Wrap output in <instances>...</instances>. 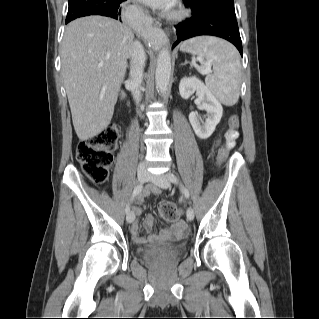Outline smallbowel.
Returning <instances> with one entry per match:
<instances>
[{"instance_id":"c3829d8e","label":"small bowel","mask_w":319,"mask_h":319,"mask_svg":"<svg viewBox=\"0 0 319 319\" xmlns=\"http://www.w3.org/2000/svg\"><path fill=\"white\" fill-rule=\"evenodd\" d=\"M229 135H230V131L227 132V137ZM234 137H235L234 139L228 138L229 145H233L234 140L238 137L237 131L234 133ZM152 191L156 194L159 193V190L156 188H153ZM143 201H144V195L142 194L137 198V202L142 203ZM141 212H142L141 208H139V207L133 208V213L135 215L139 216L141 214ZM144 227L148 232L153 233L155 230L153 219L150 217L146 218L145 222H144ZM138 229H139V225H138V221L136 220L132 224L131 231H132V234L134 236L135 241L138 243H141L144 241V238L138 237ZM173 229H174V232H176V233H184L186 231V223L182 220H178L173 225Z\"/></svg>"}]
</instances>
